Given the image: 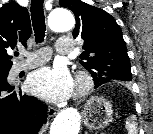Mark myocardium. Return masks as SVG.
I'll use <instances>...</instances> for the list:
<instances>
[{
	"label": "myocardium",
	"mask_w": 153,
	"mask_h": 134,
	"mask_svg": "<svg viewBox=\"0 0 153 134\" xmlns=\"http://www.w3.org/2000/svg\"><path fill=\"white\" fill-rule=\"evenodd\" d=\"M94 80L90 72L87 70H80L75 78L74 97L79 99L85 97L93 88Z\"/></svg>",
	"instance_id": "obj_1"
}]
</instances>
